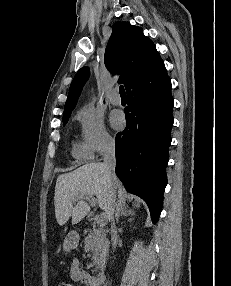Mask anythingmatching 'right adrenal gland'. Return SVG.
<instances>
[{"label":"right adrenal gland","instance_id":"2a0ac1e0","mask_svg":"<svg viewBox=\"0 0 231 286\" xmlns=\"http://www.w3.org/2000/svg\"><path fill=\"white\" fill-rule=\"evenodd\" d=\"M133 216L134 215V211L131 209H128L125 205L121 204V203H116L115 205V220L116 222H118L119 217L120 216Z\"/></svg>","mask_w":231,"mask_h":286}]
</instances>
